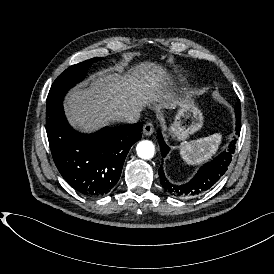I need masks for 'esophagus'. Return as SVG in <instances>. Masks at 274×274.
<instances>
[{
  "label": "esophagus",
  "mask_w": 274,
  "mask_h": 274,
  "mask_svg": "<svg viewBox=\"0 0 274 274\" xmlns=\"http://www.w3.org/2000/svg\"><path fill=\"white\" fill-rule=\"evenodd\" d=\"M154 132V126L151 122H147L143 127V133L145 136H150Z\"/></svg>",
  "instance_id": "34e87169"
}]
</instances>
